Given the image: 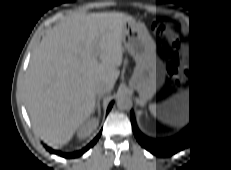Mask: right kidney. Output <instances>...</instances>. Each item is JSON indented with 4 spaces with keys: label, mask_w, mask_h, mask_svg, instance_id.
I'll use <instances>...</instances> for the list:
<instances>
[{
    "label": "right kidney",
    "mask_w": 231,
    "mask_h": 170,
    "mask_svg": "<svg viewBox=\"0 0 231 170\" xmlns=\"http://www.w3.org/2000/svg\"><path fill=\"white\" fill-rule=\"evenodd\" d=\"M96 126V122L94 120H89L84 122L78 129L77 135L79 138L86 137Z\"/></svg>",
    "instance_id": "obj_1"
}]
</instances>
